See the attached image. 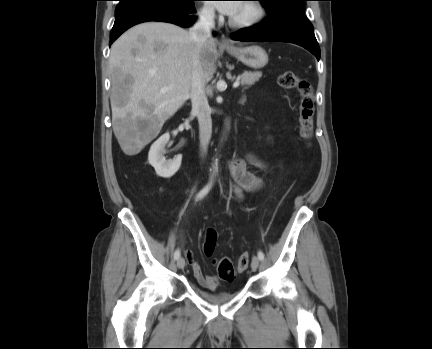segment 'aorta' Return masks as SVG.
<instances>
[{
    "mask_svg": "<svg viewBox=\"0 0 432 349\" xmlns=\"http://www.w3.org/2000/svg\"><path fill=\"white\" fill-rule=\"evenodd\" d=\"M216 169H217V163H216V165L213 166V175L215 174Z\"/></svg>",
    "mask_w": 432,
    "mask_h": 349,
    "instance_id": "1",
    "label": "aorta"
}]
</instances>
